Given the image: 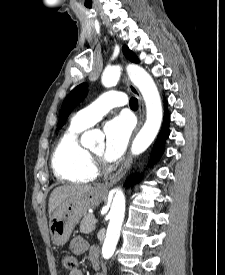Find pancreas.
<instances>
[{
	"label": "pancreas",
	"instance_id": "obj_1",
	"mask_svg": "<svg viewBox=\"0 0 225 275\" xmlns=\"http://www.w3.org/2000/svg\"><path fill=\"white\" fill-rule=\"evenodd\" d=\"M94 218V215L90 213L84 215L80 224L81 233L89 234L95 229V223L93 222Z\"/></svg>",
	"mask_w": 225,
	"mask_h": 275
}]
</instances>
